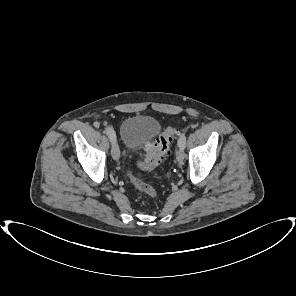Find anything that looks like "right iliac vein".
Masks as SVG:
<instances>
[{
	"label": "right iliac vein",
	"instance_id": "1",
	"mask_svg": "<svg viewBox=\"0 0 296 296\" xmlns=\"http://www.w3.org/2000/svg\"><path fill=\"white\" fill-rule=\"evenodd\" d=\"M111 143H112V150H111L112 157L114 160H118L120 157V149H119L118 143L116 139H112Z\"/></svg>",
	"mask_w": 296,
	"mask_h": 296
}]
</instances>
